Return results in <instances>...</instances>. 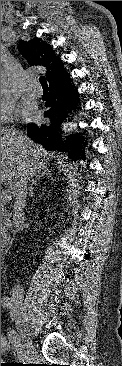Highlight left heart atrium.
<instances>
[{"instance_id":"obj_1","label":"left heart atrium","mask_w":122,"mask_h":366,"mask_svg":"<svg viewBox=\"0 0 122 366\" xmlns=\"http://www.w3.org/2000/svg\"><path fill=\"white\" fill-rule=\"evenodd\" d=\"M33 113L32 107L28 104H23L20 108V114L23 118H29L31 117Z\"/></svg>"}]
</instances>
